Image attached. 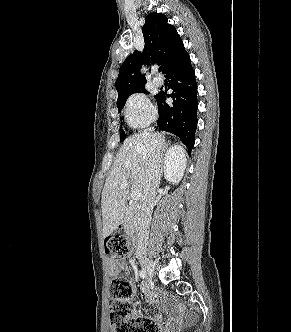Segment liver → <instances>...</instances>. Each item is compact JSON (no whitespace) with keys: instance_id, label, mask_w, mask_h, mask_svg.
I'll return each mask as SVG.
<instances>
[{"instance_id":"obj_1","label":"liver","mask_w":291,"mask_h":332,"mask_svg":"<svg viewBox=\"0 0 291 332\" xmlns=\"http://www.w3.org/2000/svg\"><path fill=\"white\" fill-rule=\"evenodd\" d=\"M159 149L165 143L162 133L152 134ZM149 142L143 133L128 137L116 156L114 166L106 179L101 200L103 218V238L109 236L122 223L125 217V200L129 189L143 192L144 176L147 167V149ZM185 157L186 151L179 147ZM162 172H165V159L162 162ZM123 181L128 182L126 188H121Z\"/></svg>"}]
</instances>
